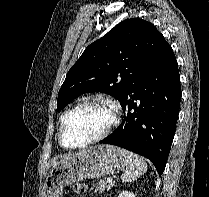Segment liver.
Returning <instances> with one entry per match:
<instances>
[{
  "mask_svg": "<svg viewBox=\"0 0 209 197\" xmlns=\"http://www.w3.org/2000/svg\"><path fill=\"white\" fill-rule=\"evenodd\" d=\"M67 159H69V158H63L60 162H56V163L54 164V166H56L57 164H59V163H61V162L66 161Z\"/></svg>",
  "mask_w": 209,
  "mask_h": 197,
  "instance_id": "1",
  "label": "liver"
}]
</instances>
